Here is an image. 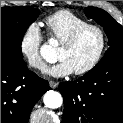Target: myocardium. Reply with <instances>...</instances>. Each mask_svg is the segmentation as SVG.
Listing matches in <instances>:
<instances>
[{
  "label": "myocardium",
  "mask_w": 123,
  "mask_h": 123,
  "mask_svg": "<svg viewBox=\"0 0 123 123\" xmlns=\"http://www.w3.org/2000/svg\"><path fill=\"white\" fill-rule=\"evenodd\" d=\"M89 30H95L99 36H100V47L95 55V57L93 58V60L84 68L79 69L74 71V74L76 75H84L90 71H92L100 62V60L102 59L105 49H106V45H107V36L106 33L104 31V29L98 25H94V24H88L85 25L83 27H80L79 29L75 30L66 40H64L60 47L63 48H70L72 47L77 40L87 31Z\"/></svg>",
  "instance_id": "1"
}]
</instances>
